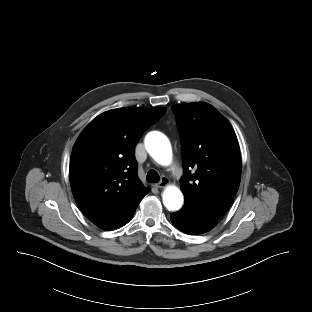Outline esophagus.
<instances>
[{"label":"esophagus","mask_w":312,"mask_h":312,"mask_svg":"<svg viewBox=\"0 0 312 312\" xmlns=\"http://www.w3.org/2000/svg\"><path fill=\"white\" fill-rule=\"evenodd\" d=\"M170 183L169 179L166 177H162L161 181L159 183H157L155 186L157 188H164L166 186H168Z\"/></svg>","instance_id":"obj_1"}]
</instances>
